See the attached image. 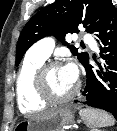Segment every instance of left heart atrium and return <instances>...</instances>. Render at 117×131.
Segmentation results:
<instances>
[{"label":"left heart atrium","mask_w":117,"mask_h":131,"mask_svg":"<svg viewBox=\"0 0 117 131\" xmlns=\"http://www.w3.org/2000/svg\"><path fill=\"white\" fill-rule=\"evenodd\" d=\"M64 71L67 74L68 78L74 82L77 81L78 78V71L77 68L74 64L69 63L67 65H65L64 67Z\"/></svg>","instance_id":"left-heart-atrium-1"}]
</instances>
